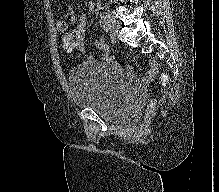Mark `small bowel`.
Masks as SVG:
<instances>
[{"mask_svg":"<svg viewBox=\"0 0 219 192\" xmlns=\"http://www.w3.org/2000/svg\"><path fill=\"white\" fill-rule=\"evenodd\" d=\"M93 8V6H91ZM71 23L74 26L73 30L66 31V27H60V29L64 32L63 34V41H64V48L67 51H72L74 49L78 50L80 53H86V45H85V38H86V22L87 18L85 14L80 15H72L70 19ZM68 41H72V50L68 48ZM95 47L101 52L99 57L100 62H110L109 56V48L104 40L103 37H97L94 41ZM88 60H93L92 57H88ZM126 70L130 71L132 69L131 66H125ZM158 64L156 61L149 62V68L146 75L143 78L145 82H151L157 73Z\"/></svg>","mask_w":219,"mask_h":192,"instance_id":"1","label":"small bowel"}]
</instances>
